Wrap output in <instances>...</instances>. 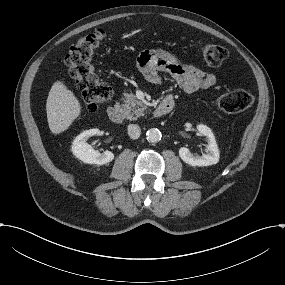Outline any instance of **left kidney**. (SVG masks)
I'll return each mask as SVG.
<instances>
[{"mask_svg": "<svg viewBox=\"0 0 285 285\" xmlns=\"http://www.w3.org/2000/svg\"><path fill=\"white\" fill-rule=\"evenodd\" d=\"M198 132L205 135L208 139L207 152L208 154L197 158L193 157L187 148L179 149V157L183 162L194 167H209L216 165L219 162V150L215 141L214 134L211 129L205 125H199Z\"/></svg>", "mask_w": 285, "mask_h": 285, "instance_id": "5707ae66", "label": "left kidney"}]
</instances>
